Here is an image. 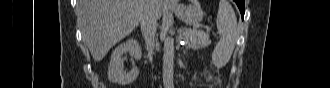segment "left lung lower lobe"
I'll list each match as a JSON object with an SVG mask.
<instances>
[{"label":"left lung lower lobe","instance_id":"0a47b994","mask_svg":"<svg viewBox=\"0 0 330 88\" xmlns=\"http://www.w3.org/2000/svg\"><path fill=\"white\" fill-rule=\"evenodd\" d=\"M234 1L237 3V5L240 9L241 15H242V19H243L244 13H245V9H244V1L245 0H234Z\"/></svg>","mask_w":330,"mask_h":88}]
</instances>
